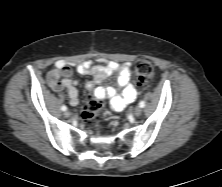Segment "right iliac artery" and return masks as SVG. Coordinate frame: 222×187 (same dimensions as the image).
<instances>
[{"mask_svg":"<svg viewBox=\"0 0 222 187\" xmlns=\"http://www.w3.org/2000/svg\"><path fill=\"white\" fill-rule=\"evenodd\" d=\"M61 110L62 111H66L67 110V107L65 105L61 106Z\"/></svg>","mask_w":222,"mask_h":187,"instance_id":"1","label":"right iliac artery"}]
</instances>
